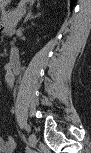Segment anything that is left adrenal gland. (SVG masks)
<instances>
[{"label":"left adrenal gland","mask_w":91,"mask_h":153,"mask_svg":"<svg viewBox=\"0 0 91 153\" xmlns=\"http://www.w3.org/2000/svg\"><path fill=\"white\" fill-rule=\"evenodd\" d=\"M34 18V16L32 15V12H29L25 18V21L24 22H27L29 19H32Z\"/></svg>","instance_id":"obj_1"}]
</instances>
